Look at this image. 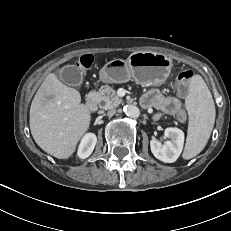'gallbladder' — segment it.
I'll return each instance as SVG.
<instances>
[{
	"instance_id": "obj_1",
	"label": "gallbladder",
	"mask_w": 231,
	"mask_h": 231,
	"mask_svg": "<svg viewBox=\"0 0 231 231\" xmlns=\"http://www.w3.org/2000/svg\"><path fill=\"white\" fill-rule=\"evenodd\" d=\"M58 75L63 83L69 86H79L83 77L81 71L75 66H66L58 71Z\"/></svg>"
}]
</instances>
